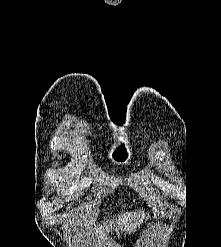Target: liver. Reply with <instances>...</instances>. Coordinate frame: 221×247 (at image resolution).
Instances as JSON below:
<instances>
[{
	"instance_id": "6515ba94",
	"label": "liver",
	"mask_w": 221,
	"mask_h": 247,
	"mask_svg": "<svg viewBox=\"0 0 221 247\" xmlns=\"http://www.w3.org/2000/svg\"><path fill=\"white\" fill-rule=\"evenodd\" d=\"M68 219H69V225L76 226V227H80V226L82 227L83 224L85 225V223L87 222L86 218L80 217L77 219V217L72 214L68 216ZM141 222H142V218L140 219L138 215L126 213L120 217L118 225L121 227L122 225H125V230H133L138 225H140ZM114 225H115V222L110 221L109 228L106 227V231H108V229L112 230ZM77 238H78V241H80L83 238V235L81 233H77Z\"/></svg>"
}]
</instances>
